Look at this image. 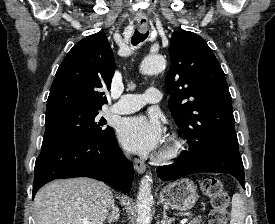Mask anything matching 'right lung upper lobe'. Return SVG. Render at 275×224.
I'll return each mask as SVG.
<instances>
[{
	"mask_svg": "<svg viewBox=\"0 0 275 224\" xmlns=\"http://www.w3.org/2000/svg\"><path fill=\"white\" fill-rule=\"evenodd\" d=\"M115 71L111 47L104 33L79 41L60 64L47 100L46 113L63 108L101 109L107 104L102 89H110Z\"/></svg>",
	"mask_w": 275,
	"mask_h": 224,
	"instance_id": "cb5924a9",
	"label": "right lung upper lobe"
}]
</instances>
